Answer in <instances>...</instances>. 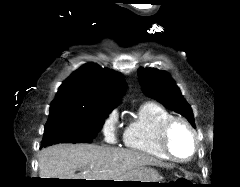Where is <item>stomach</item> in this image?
Listing matches in <instances>:
<instances>
[{
	"label": "stomach",
	"instance_id": "stomach-1",
	"mask_svg": "<svg viewBox=\"0 0 240 187\" xmlns=\"http://www.w3.org/2000/svg\"><path fill=\"white\" fill-rule=\"evenodd\" d=\"M123 181V182H113ZM161 177L158 172L150 167H142L130 171L118 179L111 180L110 186L118 187H158ZM142 182H158V183H142Z\"/></svg>",
	"mask_w": 240,
	"mask_h": 187
}]
</instances>
